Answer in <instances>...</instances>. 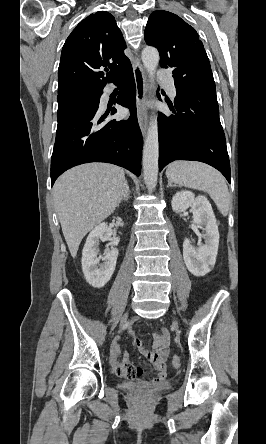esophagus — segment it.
<instances>
[{
	"mask_svg": "<svg viewBox=\"0 0 266 444\" xmlns=\"http://www.w3.org/2000/svg\"><path fill=\"white\" fill-rule=\"evenodd\" d=\"M133 71L136 84L138 122L141 132L145 136L148 126V115L144 104L147 98L148 87L143 67L138 59H136L133 65Z\"/></svg>",
	"mask_w": 266,
	"mask_h": 444,
	"instance_id": "esophagus-1",
	"label": "esophagus"
}]
</instances>
